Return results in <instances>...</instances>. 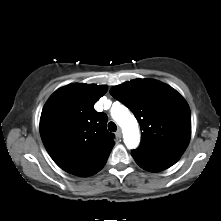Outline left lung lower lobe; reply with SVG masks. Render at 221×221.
<instances>
[{"label":"left lung lower lobe","instance_id":"left-lung-lower-lobe-1","mask_svg":"<svg viewBox=\"0 0 221 221\" xmlns=\"http://www.w3.org/2000/svg\"><path fill=\"white\" fill-rule=\"evenodd\" d=\"M136 163L143 169L150 172H159L164 169L169 168L175 164L179 158L169 157V158H148L131 153Z\"/></svg>","mask_w":221,"mask_h":221}]
</instances>
